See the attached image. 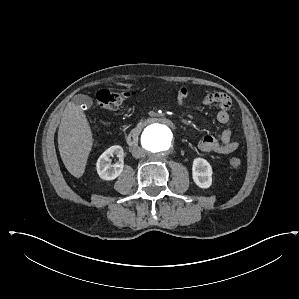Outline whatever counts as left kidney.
<instances>
[{
    "label": "left kidney",
    "mask_w": 299,
    "mask_h": 299,
    "mask_svg": "<svg viewBox=\"0 0 299 299\" xmlns=\"http://www.w3.org/2000/svg\"><path fill=\"white\" fill-rule=\"evenodd\" d=\"M192 177L195 184L203 189H207L212 184V167L203 158H195L192 165Z\"/></svg>",
    "instance_id": "5707ae66"
}]
</instances>
